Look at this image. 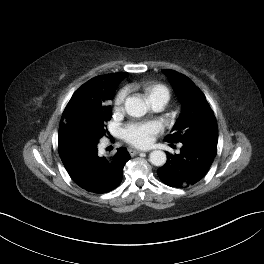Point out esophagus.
Wrapping results in <instances>:
<instances>
[{
  "label": "esophagus",
  "mask_w": 264,
  "mask_h": 264,
  "mask_svg": "<svg viewBox=\"0 0 264 264\" xmlns=\"http://www.w3.org/2000/svg\"><path fill=\"white\" fill-rule=\"evenodd\" d=\"M142 151L140 150H135V149H129V153L131 156L137 155L139 153H141Z\"/></svg>",
  "instance_id": "34e87169"
}]
</instances>
